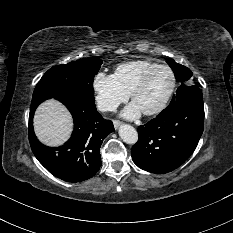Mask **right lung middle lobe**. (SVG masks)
I'll return each instance as SVG.
<instances>
[{
    "mask_svg": "<svg viewBox=\"0 0 233 233\" xmlns=\"http://www.w3.org/2000/svg\"><path fill=\"white\" fill-rule=\"evenodd\" d=\"M102 61L96 57L80 59L49 69L36 86L32 101L39 98H76L94 103V76Z\"/></svg>",
    "mask_w": 233,
    "mask_h": 233,
    "instance_id": "1",
    "label": "right lung middle lobe"
}]
</instances>
